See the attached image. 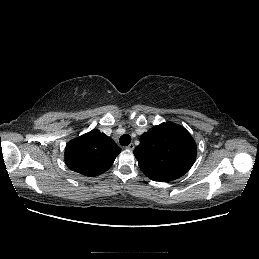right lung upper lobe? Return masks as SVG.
I'll return each instance as SVG.
<instances>
[{
	"label": "right lung upper lobe",
	"mask_w": 259,
	"mask_h": 259,
	"mask_svg": "<svg viewBox=\"0 0 259 259\" xmlns=\"http://www.w3.org/2000/svg\"><path fill=\"white\" fill-rule=\"evenodd\" d=\"M121 152L112 138L97 129L71 140L65 149V163L71 170L85 176L106 172Z\"/></svg>",
	"instance_id": "obj_1"
}]
</instances>
